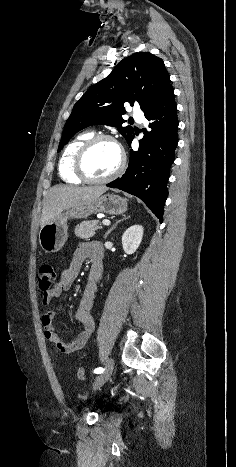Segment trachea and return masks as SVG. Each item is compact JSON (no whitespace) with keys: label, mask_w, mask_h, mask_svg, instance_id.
Segmentation results:
<instances>
[{"label":"trachea","mask_w":236,"mask_h":467,"mask_svg":"<svg viewBox=\"0 0 236 467\" xmlns=\"http://www.w3.org/2000/svg\"><path fill=\"white\" fill-rule=\"evenodd\" d=\"M130 122H134V120L132 119V120H130Z\"/></svg>","instance_id":"obj_1"}]
</instances>
